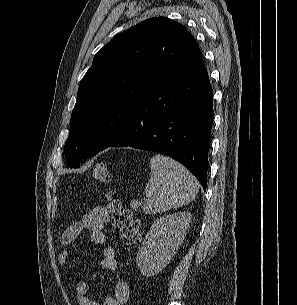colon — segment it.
<instances>
[{"label": "colon", "mask_w": 297, "mask_h": 305, "mask_svg": "<svg viewBox=\"0 0 297 305\" xmlns=\"http://www.w3.org/2000/svg\"><path fill=\"white\" fill-rule=\"evenodd\" d=\"M94 181L102 186L110 182V173L105 162H98L93 169ZM114 230L129 244L134 245L139 241L140 234L138 223L133 218L132 212L118 200L117 195L107 191L103 199Z\"/></svg>", "instance_id": "obj_1"}]
</instances>
